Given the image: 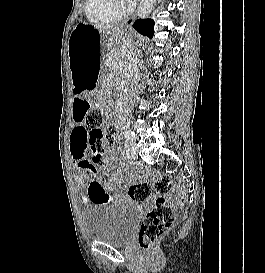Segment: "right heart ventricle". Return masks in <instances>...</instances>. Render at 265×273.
Returning <instances> with one entry per match:
<instances>
[{"mask_svg":"<svg viewBox=\"0 0 265 273\" xmlns=\"http://www.w3.org/2000/svg\"><path fill=\"white\" fill-rule=\"evenodd\" d=\"M85 14L87 19L95 24L112 23L121 17L113 0H86Z\"/></svg>","mask_w":265,"mask_h":273,"instance_id":"1","label":"right heart ventricle"}]
</instances>
